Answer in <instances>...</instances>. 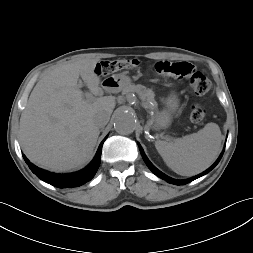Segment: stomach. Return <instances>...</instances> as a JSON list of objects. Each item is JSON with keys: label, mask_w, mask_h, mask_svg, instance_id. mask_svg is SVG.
<instances>
[{"label": "stomach", "mask_w": 253, "mask_h": 253, "mask_svg": "<svg viewBox=\"0 0 253 253\" xmlns=\"http://www.w3.org/2000/svg\"><path fill=\"white\" fill-rule=\"evenodd\" d=\"M131 79L128 75L120 73L112 75L107 78L103 87L108 91H120L123 90L127 85H129ZM179 98L178 95L172 92L167 98V106L160 112H157L152 118V124L156 129L167 128L172 121L173 115L178 109Z\"/></svg>", "instance_id": "stomach-1"}]
</instances>
